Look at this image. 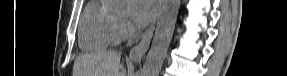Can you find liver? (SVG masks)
<instances>
[{
	"label": "liver",
	"mask_w": 287,
	"mask_h": 76,
	"mask_svg": "<svg viewBox=\"0 0 287 76\" xmlns=\"http://www.w3.org/2000/svg\"><path fill=\"white\" fill-rule=\"evenodd\" d=\"M121 54L101 50L85 54L74 62V76H119Z\"/></svg>",
	"instance_id": "6515ba94"
}]
</instances>
